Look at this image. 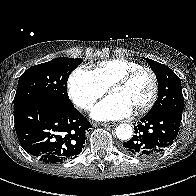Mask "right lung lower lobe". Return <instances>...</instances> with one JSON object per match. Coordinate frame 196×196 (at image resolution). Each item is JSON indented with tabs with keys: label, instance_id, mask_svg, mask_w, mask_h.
I'll return each mask as SVG.
<instances>
[{
	"label": "right lung lower lobe",
	"instance_id": "1",
	"mask_svg": "<svg viewBox=\"0 0 196 196\" xmlns=\"http://www.w3.org/2000/svg\"><path fill=\"white\" fill-rule=\"evenodd\" d=\"M15 129L25 151L48 164L76 158L91 124L74 106L35 98L14 106Z\"/></svg>",
	"mask_w": 196,
	"mask_h": 196
}]
</instances>
